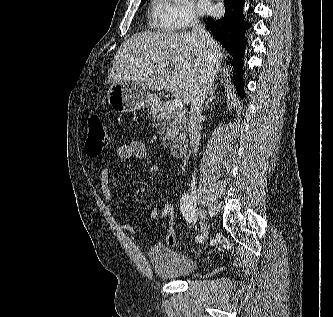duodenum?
<instances>
[{
    "mask_svg": "<svg viewBox=\"0 0 333 317\" xmlns=\"http://www.w3.org/2000/svg\"><path fill=\"white\" fill-rule=\"evenodd\" d=\"M189 146V138L187 134H180L177 136L171 145V153L176 158L183 157Z\"/></svg>",
    "mask_w": 333,
    "mask_h": 317,
    "instance_id": "obj_1",
    "label": "duodenum"
}]
</instances>
